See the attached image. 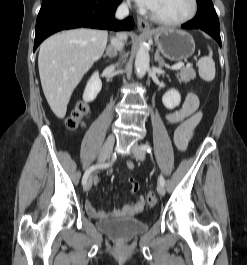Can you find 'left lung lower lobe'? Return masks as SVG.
Listing matches in <instances>:
<instances>
[{"instance_id":"0a47b994","label":"left lung lower lobe","mask_w":247,"mask_h":265,"mask_svg":"<svg viewBox=\"0 0 247 265\" xmlns=\"http://www.w3.org/2000/svg\"><path fill=\"white\" fill-rule=\"evenodd\" d=\"M198 11L194 19L182 28L201 29L211 35L221 47L220 26L212 0H197Z\"/></svg>"}]
</instances>
